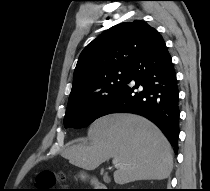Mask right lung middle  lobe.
<instances>
[{
  "label": "right lung middle lobe",
  "mask_w": 210,
  "mask_h": 191,
  "mask_svg": "<svg viewBox=\"0 0 210 191\" xmlns=\"http://www.w3.org/2000/svg\"><path fill=\"white\" fill-rule=\"evenodd\" d=\"M129 76V67L106 71L86 90L69 98L64 117L65 128H82L91 124L109 99L126 84Z\"/></svg>",
  "instance_id": "right-lung-middle-lobe-1"
}]
</instances>
